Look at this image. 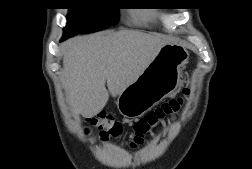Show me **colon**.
<instances>
[{"label": "colon", "mask_w": 252, "mask_h": 169, "mask_svg": "<svg viewBox=\"0 0 252 169\" xmlns=\"http://www.w3.org/2000/svg\"><path fill=\"white\" fill-rule=\"evenodd\" d=\"M182 104L183 97L171 99L137 121L130 135V145L137 146L142 144L145 136L157 125L175 118ZM89 123L92 127L99 129L104 138L117 139L122 135L123 129L121 124L107 114L100 113L91 117Z\"/></svg>", "instance_id": "colon-1"}]
</instances>
